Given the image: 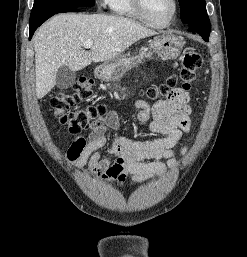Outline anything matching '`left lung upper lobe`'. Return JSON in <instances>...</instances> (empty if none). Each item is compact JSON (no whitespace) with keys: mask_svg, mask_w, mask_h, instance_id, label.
Instances as JSON below:
<instances>
[{"mask_svg":"<svg viewBox=\"0 0 247 257\" xmlns=\"http://www.w3.org/2000/svg\"><path fill=\"white\" fill-rule=\"evenodd\" d=\"M180 4V16L184 24L200 25L210 29V21L207 15L205 0H178Z\"/></svg>","mask_w":247,"mask_h":257,"instance_id":"5c2ea615","label":"left lung upper lobe"}]
</instances>
